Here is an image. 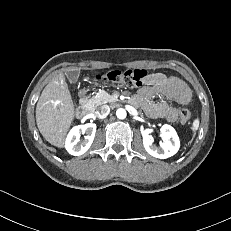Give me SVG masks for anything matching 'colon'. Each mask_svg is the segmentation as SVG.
<instances>
[{"instance_id":"obj_1","label":"colon","mask_w":231,"mask_h":231,"mask_svg":"<svg viewBox=\"0 0 231 231\" xmlns=\"http://www.w3.org/2000/svg\"><path fill=\"white\" fill-rule=\"evenodd\" d=\"M148 74L142 69L114 70L104 74H98L96 79L116 84L127 88H138L145 84ZM191 118V113L186 108L179 110L180 122L186 124Z\"/></svg>"}]
</instances>
